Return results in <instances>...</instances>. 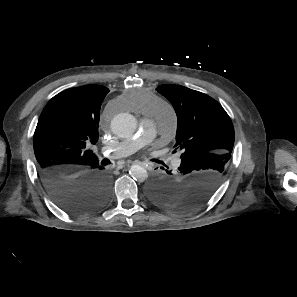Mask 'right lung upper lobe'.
Segmentation results:
<instances>
[{
  "mask_svg": "<svg viewBox=\"0 0 297 297\" xmlns=\"http://www.w3.org/2000/svg\"><path fill=\"white\" fill-rule=\"evenodd\" d=\"M109 89L86 85L64 90L43 109L33 137L39 170L78 172L98 163L86 142L98 141L100 107Z\"/></svg>",
  "mask_w": 297,
  "mask_h": 297,
  "instance_id": "1",
  "label": "right lung upper lobe"
}]
</instances>
